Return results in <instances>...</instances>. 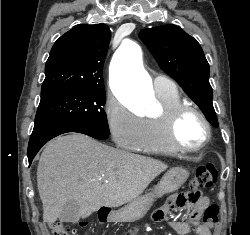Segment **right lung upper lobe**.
Segmentation results:
<instances>
[{"label": "right lung upper lobe", "instance_id": "1", "mask_svg": "<svg viewBox=\"0 0 250 235\" xmlns=\"http://www.w3.org/2000/svg\"><path fill=\"white\" fill-rule=\"evenodd\" d=\"M110 37L105 24H79L62 35L46 62L41 97L104 87L102 70Z\"/></svg>", "mask_w": 250, "mask_h": 235}]
</instances>
